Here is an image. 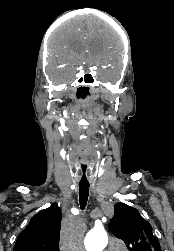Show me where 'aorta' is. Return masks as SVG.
I'll list each match as a JSON object with an SVG mask.
<instances>
[{
	"label": "aorta",
	"instance_id": "762f6f07",
	"mask_svg": "<svg viewBox=\"0 0 174 251\" xmlns=\"http://www.w3.org/2000/svg\"><path fill=\"white\" fill-rule=\"evenodd\" d=\"M108 243L105 231L93 229L85 237V248L87 251H102Z\"/></svg>",
	"mask_w": 174,
	"mask_h": 251
}]
</instances>
